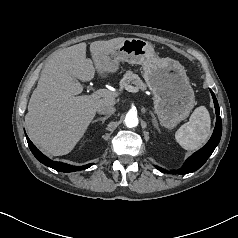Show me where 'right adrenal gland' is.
<instances>
[{"mask_svg": "<svg viewBox=\"0 0 238 238\" xmlns=\"http://www.w3.org/2000/svg\"><path fill=\"white\" fill-rule=\"evenodd\" d=\"M108 118H109V116L99 117V118L93 120L92 123H95V122H97V121H102V124H103V123L105 122V120H107Z\"/></svg>", "mask_w": 238, "mask_h": 238, "instance_id": "obj_1", "label": "right adrenal gland"}]
</instances>
